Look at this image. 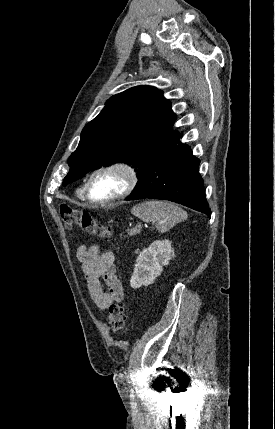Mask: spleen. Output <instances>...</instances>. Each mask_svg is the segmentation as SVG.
<instances>
[{
    "instance_id": "obj_1",
    "label": "spleen",
    "mask_w": 275,
    "mask_h": 429,
    "mask_svg": "<svg viewBox=\"0 0 275 429\" xmlns=\"http://www.w3.org/2000/svg\"><path fill=\"white\" fill-rule=\"evenodd\" d=\"M131 213L145 222H153L161 233L187 219V213L177 205L158 200L137 204L133 206Z\"/></svg>"
}]
</instances>
